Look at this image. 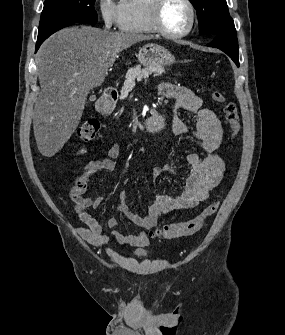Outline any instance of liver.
I'll use <instances>...</instances> for the list:
<instances>
[{
	"instance_id": "liver-1",
	"label": "liver",
	"mask_w": 285,
	"mask_h": 335,
	"mask_svg": "<svg viewBox=\"0 0 285 335\" xmlns=\"http://www.w3.org/2000/svg\"><path fill=\"white\" fill-rule=\"evenodd\" d=\"M152 38L73 26L59 30L42 44L36 54L41 92L33 116L34 136L42 156H55L75 132L88 94L102 86L118 54Z\"/></svg>"
}]
</instances>
